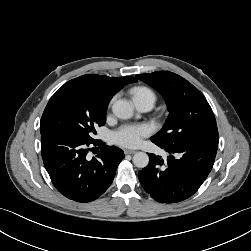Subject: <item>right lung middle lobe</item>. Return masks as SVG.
Returning <instances> with one entry per match:
<instances>
[{
    "instance_id": "dd1d6c3e",
    "label": "right lung middle lobe",
    "mask_w": 251,
    "mask_h": 251,
    "mask_svg": "<svg viewBox=\"0 0 251 251\" xmlns=\"http://www.w3.org/2000/svg\"><path fill=\"white\" fill-rule=\"evenodd\" d=\"M108 102L92 89L67 82L49 100L40 123V133H65L93 141L95 127L106 123Z\"/></svg>"
}]
</instances>
